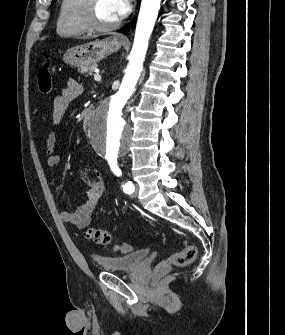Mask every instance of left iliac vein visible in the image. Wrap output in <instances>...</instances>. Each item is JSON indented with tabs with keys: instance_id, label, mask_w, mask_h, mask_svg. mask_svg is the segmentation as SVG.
<instances>
[{
	"instance_id": "left-iliac-vein-1",
	"label": "left iliac vein",
	"mask_w": 285,
	"mask_h": 335,
	"mask_svg": "<svg viewBox=\"0 0 285 335\" xmlns=\"http://www.w3.org/2000/svg\"><path fill=\"white\" fill-rule=\"evenodd\" d=\"M138 191H139V186L138 185H136L135 186V191H134V193H133V197H135V196H137V194H138Z\"/></svg>"
}]
</instances>
